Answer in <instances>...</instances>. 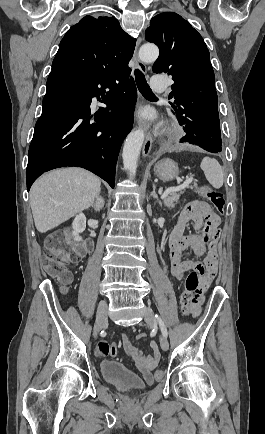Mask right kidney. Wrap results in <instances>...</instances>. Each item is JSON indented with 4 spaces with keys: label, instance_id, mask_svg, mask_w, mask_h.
Returning a JSON list of instances; mask_svg holds the SVG:
<instances>
[{
    "label": "right kidney",
    "instance_id": "obj_1",
    "mask_svg": "<svg viewBox=\"0 0 265 434\" xmlns=\"http://www.w3.org/2000/svg\"><path fill=\"white\" fill-rule=\"evenodd\" d=\"M72 228L74 240H76V242H82V238L79 234L84 232L86 228V218L84 214H78V216H76L75 220H73Z\"/></svg>",
    "mask_w": 265,
    "mask_h": 434
}]
</instances>
